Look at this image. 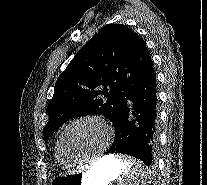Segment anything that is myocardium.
<instances>
[{"label":"myocardium","mask_w":207,"mask_h":185,"mask_svg":"<svg viewBox=\"0 0 207 185\" xmlns=\"http://www.w3.org/2000/svg\"><path fill=\"white\" fill-rule=\"evenodd\" d=\"M85 120H92V121H96L98 123H100L102 126H104V128L106 129L109 138H112L114 136V130L112 128V126L102 117L100 116H96V115H84L81 117H78L76 119H74L73 121H71L61 132L60 138H59V147H60V151L62 153V155L69 161L74 162V163H80L83 162L85 160L88 159H94V158H98L100 156H102V150L96 153H92L83 157H79V158H75L73 157L66 149L65 147V136L68 132V130L75 124L81 122V121H85Z\"/></svg>","instance_id":"obj_1"}]
</instances>
